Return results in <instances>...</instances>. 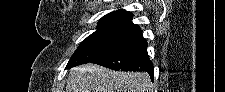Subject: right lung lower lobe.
Wrapping results in <instances>:
<instances>
[{
    "instance_id": "right-lung-lower-lobe-1",
    "label": "right lung lower lobe",
    "mask_w": 225,
    "mask_h": 92,
    "mask_svg": "<svg viewBox=\"0 0 225 92\" xmlns=\"http://www.w3.org/2000/svg\"><path fill=\"white\" fill-rule=\"evenodd\" d=\"M91 63L114 70L147 71L153 80V64L147 53V41L143 37L126 46L101 55L92 60Z\"/></svg>"
}]
</instances>
